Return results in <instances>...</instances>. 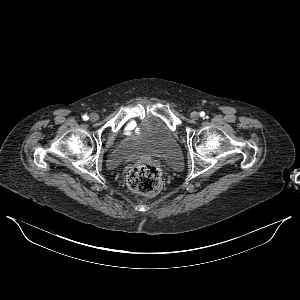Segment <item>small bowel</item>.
I'll return each instance as SVG.
<instances>
[{"mask_svg": "<svg viewBox=\"0 0 300 300\" xmlns=\"http://www.w3.org/2000/svg\"><path fill=\"white\" fill-rule=\"evenodd\" d=\"M134 127H135V125H134V123L131 122V121L128 122V123L126 124V130H127V131L133 130Z\"/></svg>", "mask_w": 300, "mask_h": 300, "instance_id": "c3829d8e", "label": "small bowel"}]
</instances>
